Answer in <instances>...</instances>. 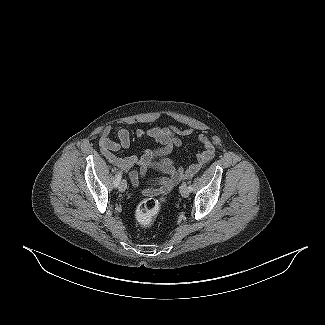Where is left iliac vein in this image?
Listing matches in <instances>:
<instances>
[{
	"label": "left iliac vein",
	"mask_w": 325,
	"mask_h": 325,
	"mask_svg": "<svg viewBox=\"0 0 325 325\" xmlns=\"http://www.w3.org/2000/svg\"><path fill=\"white\" fill-rule=\"evenodd\" d=\"M189 189L187 187V184L186 183H183L181 186H180V193L183 197H188L189 196Z\"/></svg>",
	"instance_id": "left-iliac-vein-1"
}]
</instances>
